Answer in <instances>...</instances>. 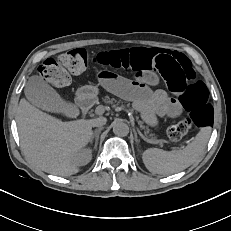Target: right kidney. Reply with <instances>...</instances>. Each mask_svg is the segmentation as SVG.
<instances>
[{
  "mask_svg": "<svg viewBox=\"0 0 231 231\" xmlns=\"http://www.w3.org/2000/svg\"><path fill=\"white\" fill-rule=\"evenodd\" d=\"M92 158L91 151L88 149H83L78 155H77V162L79 165L87 164Z\"/></svg>",
  "mask_w": 231,
  "mask_h": 231,
  "instance_id": "right-kidney-1",
  "label": "right kidney"
}]
</instances>
